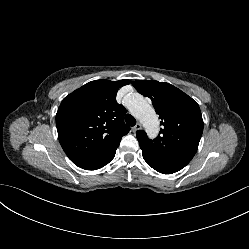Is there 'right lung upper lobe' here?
I'll return each mask as SVG.
<instances>
[{
  "label": "right lung upper lobe",
  "mask_w": 249,
  "mask_h": 249,
  "mask_svg": "<svg viewBox=\"0 0 249 249\" xmlns=\"http://www.w3.org/2000/svg\"><path fill=\"white\" fill-rule=\"evenodd\" d=\"M129 80L91 81L66 96L56 114L60 144L69 158L95 155L120 144L130 127L126 109L116 101Z\"/></svg>",
  "instance_id": "1"
}]
</instances>
